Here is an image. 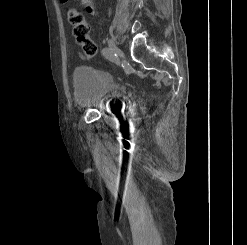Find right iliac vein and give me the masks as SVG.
Masks as SVG:
<instances>
[{
    "label": "right iliac vein",
    "mask_w": 247,
    "mask_h": 245,
    "mask_svg": "<svg viewBox=\"0 0 247 245\" xmlns=\"http://www.w3.org/2000/svg\"><path fill=\"white\" fill-rule=\"evenodd\" d=\"M108 45L109 48L118 56H121L123 54V52L117 47L114 39L110 38L108 40ZM119 61L118 57H108V62H110V64H117Z\"/></svg>",
    "instance_id": "obj_1"
}]
</instances>
